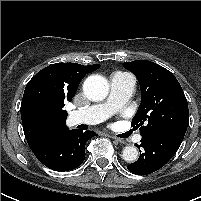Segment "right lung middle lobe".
I'll list each match as a JSON object with an SVG mask.
<instances>
[{
	"instance_id": "dd1d6c3e",
	"label": "right lung middle lobe",
	"mask_w": 201,
	"mask_h": 201,
	"mask_svg": "<svg viewBox=\"0 0 201 201\" xmlns=\"http://www.w3.org/2000/svg\"><path fill=\"white\" fill-rule=\"evenodd\" d=\"M32 103L38 109H48L55 105V102L47 94L37 95Z\"/></svg>"
}]
</instances>
